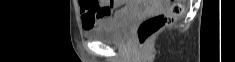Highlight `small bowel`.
Instances as JSON below:
<instances>
[{"mask_svg":"<svg viewBox=\"0 0 235 62\" xmlns=\"http://www.w3.org/2000/svg\"><path fill=\"white\" fill-rule=\"evenodd\" d=\"M123 4L122 0H101L96 5L92 1H81L82 24L90 30L107 22L112 11Z\"/></svg>","mask_w":235,"mask_h":62,"instance_id":"1","label":"small bowel"}]
</instances>
